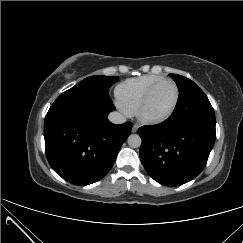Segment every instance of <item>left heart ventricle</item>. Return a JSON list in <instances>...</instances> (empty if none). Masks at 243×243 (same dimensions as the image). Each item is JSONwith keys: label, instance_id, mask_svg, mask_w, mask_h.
Returning <instances> with one entry per match:
<instances>
[{"label": "left heart ventricle", "instance_id": "obj_1", "mask_svg": "<svg viewBox=\"0 0 243 243\" xmlns=\"http://www.w3.org/2000/svg\"><path fill=\"white\" fill-rule=\"evenodd\" d=\"M175 99L173 84L166 82L161 84L153 93L145 114L150 117H159L169 111Z\"/></svg>", "mask_w": 243, "mask_h": 243}]
</instances>
